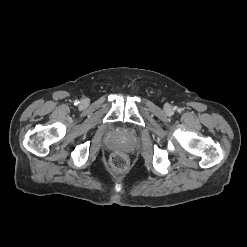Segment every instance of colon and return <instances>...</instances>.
Returning a JSON list of instances; mask_svg holds the SVG:
<instances>
[{
  "mask_svg": "<svg viewBox=\"0 0 247 247\" xmlns=\"http://www.w3.org/2000/svg\"><path fill=\"white\" fill-rule=\"evenodd\" d=\"M127 166L126 157L120 152H114L109 159V168L114 173H120Z\"/></svg>",
  "mask_w": 247,
  "mask_h": 247,
  "instance_id": "5ec220e1",
  "label": "colon"
}]
</instances>
